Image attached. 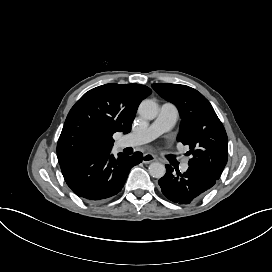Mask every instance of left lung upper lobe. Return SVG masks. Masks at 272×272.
Listing matches in <instances>:
<instances>
[{
  "instance_id": "left-lung-upper-lobe-1",
  "label": "left lung upper lobe",
  "mask_w": 272,
  "mask_h": 272,
  "mask_svg": "<svg viewBox=\"0 0 272 272\" xmlns=\"http://www.w3.org/2000/svg\"><path fill=\"white\" fill-rule=\"evenodd\" d=\"M152 87L179 109L182 121L177 141L190 147L189 166L219 179L228 158L227 134L209 101L185 85L156 83Z\"/></svg>"
}]
</instances>
